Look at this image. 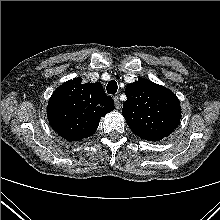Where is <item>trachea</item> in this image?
Masks as SVG:
<instances>
[{
    "instance_id": "1",
    "label": "trachea",
    "mask_w": 220,
    "mask_h": 220,
    "mask_svg": "<svg viewBox=\"0 0 220 220\" xmlns=\"http://www.w3.org/2000/svg\"><path fill=\"white\" fill-rule=\"evenodd\" d=\"M118 86L115 80H111L108 82L106 90L108 94L114 95L117 92Z\"/></svg>"
}]
</instances>
